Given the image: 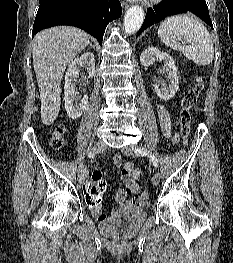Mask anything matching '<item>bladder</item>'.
Wrapping results in <instances>:
<instances>
[{"mask_svg":"<svg viewBox=\"0 0 233 263\" xmlns=\"http://www.w3.org/2000/svg\"><path fill=\"white\" fill-rule=\"evenodd\" d=\"M147 217L140 208L118 209L104 221H100L99 230L103 235L114 238H129L135 235Z\"/></svg>","mask_w":233,"mask_h":263,"instance_id":"bladder-1","label":"bladder"}]
</instances>
